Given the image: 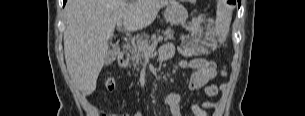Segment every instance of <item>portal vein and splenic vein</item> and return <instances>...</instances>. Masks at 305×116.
<instances>
[{
  "instance_id": "1",
  "label": "portal vein and splenic vein",
  "mask_w": 305,
  "mask_h": 116,
  "mask_svg": "<svg viewBox=\"0 0 305 116\" xmlns=\"http://www.w3.org/2000/svg\"><path fill=\"white\" fill-rule=\"evenodd\" d=\"M117 27L118 29H120L122 27V22L119 21L117 22ZM163 40V37L162 36H158L151 45H148V44H144L142 43L140 45V49L143 51V53H152L157 45L158 42L162 41Z\"/></svg>"
}]
</instances>
